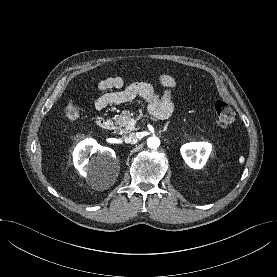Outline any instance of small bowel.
Returning a JSON list of instances; mask_svg holds the SVG:
<instances>
[{
  "instance_id": "1",
  "label": "small bowel",
  "mask_w": 277,
  "mask_h": 277,
  "mask_svg": "<svg viewBox=\"0 0 277 277\" xmlns=\"http://www.w3.org/2000/svg\"><path fill=\"white\" fill-rule=\"evenodd\" d=\"M160 82L165 88L162 95L146 82H134L125 86L121 77L104 79L98 84V89L104 93L95 101L94 106L97 110H102L109 105L125 103L141 97L148 102L149 112L153 116L166 119L172 112V91L176 82L169 74H162ZM112 89L115 91H109Z\"/></svg>"
}]
</instances>
